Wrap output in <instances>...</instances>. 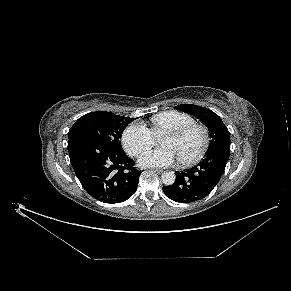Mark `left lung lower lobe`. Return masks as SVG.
<instances>
[{
	"instance_id": "1",
	"label": "left lung lower lobe",
	"mask_w": 291,
	"mask_h": 291,
	"mask_svg": "<svg viewBox=\"0 0 291 291\" xmlns=\"http://www.w3.org/2000/svg\"><path fill=\"white\" fill-rule=\"evenodd\" d=\"M230 155V145H221L207 152L202 161L185 172H176V180L164 186L165 195L179 203L205 198L217 185Z\"/></svg>"
}]
</instances>
